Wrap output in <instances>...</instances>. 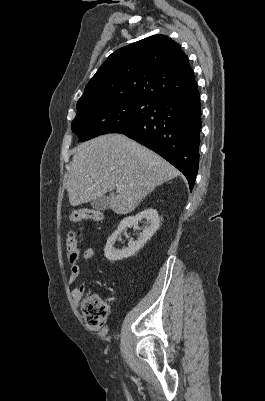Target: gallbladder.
Instances as JSON below:
<instances>
[{
    "label": "gallbladder",
    "mask_w": 265,
    "mask_h": 401,
    "mask_svg": "<svg viewBox=\"0 0 265 401\" xmlns=\"http://www.w3.org/2000/svg\"><path fill=\"white\" fill-rule=\"evenodd\" d=\"M108 203L107 196H99V198H94V201H90L91 207L96 211H107L109 209Z\"/></svg>",
    "instance_id": "gallbladder-1"
}]
</instances>
